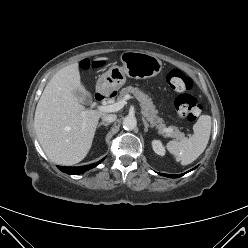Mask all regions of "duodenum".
<instances>
[{
    "instance_id": "410a0bca",
    "label": "duodenum",
    "mask_w": 248,
    "mask_h": 248,
    "mask_svg": "<svg viewBox=\"0 0 248 248\" xmlns=\"http://www.w3.org/2000/svg\"><path fill=\"white\" fill-rule=\"evenodd\" d=\"M107 98H108V96L105 95V94H103V93H96V94H95V99H96L97 101H103V100H105V99H107Z\"/></svg>"
}]
</instances>
